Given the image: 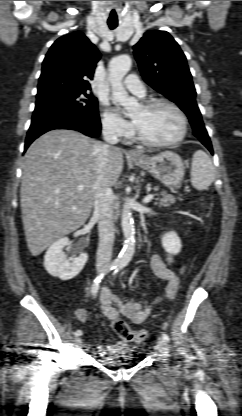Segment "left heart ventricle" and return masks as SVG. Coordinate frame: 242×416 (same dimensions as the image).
I'll list each match as a JSON object with an SVG mask.
<instances>
[{
	"label": "left heart ventricle",
	"mask_w": 242,
	"mask_h": 416,
	"mask_svg": "<svg viewBox=\"0 0 242 416\" xmlns=\"http://www.w3.org/2000/svg\"><path fill=\"white\" fill-rule=\"evenodd\" d=\"M132 120L141 134L153 141L171 140L181 129L179 117L166 106L149 110L140 107L133 113Z\"/></svg>",
	"instance_id": "b2bd125f"
}]
</instances>
